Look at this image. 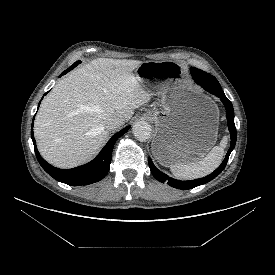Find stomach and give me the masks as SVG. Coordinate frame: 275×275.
<instances>
[{"mask_svg": "<svg viewBox=\"0 0 275 275\" xmlns=\"http://www.w3.org/2000/svg\"><path fill=\"white\" fill-rule=\"evenodd\" d=\"M140 83L161 95L162 111L147 112L155 123L152 153L163 166L202 159L217 140L218 109L184 79V67L172 61L142 62L135 69Z\"/></svg>", "mask_w": 275, "mask_h": 275, "instance_id": "0dacf381", "label": "stomach"}]
</instances>
